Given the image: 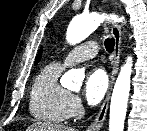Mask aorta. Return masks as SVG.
Returning <instances> with one entry per match:
<instances>
[{
  "instance_id": "aorta-1",
  "label": "aorta",
  "mask_w": 147,
  "mask_h": 131,
  "mask_svg": "<svg viewBox=\"0 0 147 131\" xmlns=\"http://www.w3.org/2000/svg\"><path fill=\"white\" fill-rule=\"evenodd\" d=\"M105 20L122 21L115 15L91 13L78 15L72 19L67 30V41L77 44L86 39ZM132 57L126 59L116 80L110 104L109 131H123L130 92ZM84 72L80 69L68 70L61 78L63 87L79 90L84 80Z\"/></svg>"
}]
</instances>
